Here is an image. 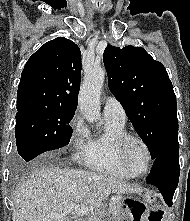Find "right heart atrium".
Instances as JSON below:
<instances>
[{"label": "right heart atrium", "mask_w": 190, "mask_h": 221, "mask_svg": "<svg viewBox=\"0 0 190 221\" xmlns=\"http://www.w3.org/2000/svg\"><path fill=\"white\" fill-rule=\"evenodd\" d=\"M70 149L76 162L84 163L91 151V135L83 118L76 113L70 122Z\"/></svg>", "instance_id": "right-heart-atrium-1"}]
</instances>
